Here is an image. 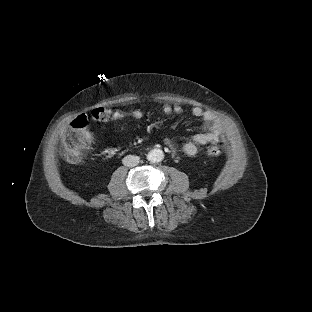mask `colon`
I'll return each mask as SVG.
<instances>
[{"mask_svg":"<svg viewBox=\"0 0 312 312\" xmlns=\"http://www.w3.org/2000/svg\"><path fill=\"white\" fill-rule=\"evenodd\" d=\"M90 114L92 120L96 123L107 125L112 122L117 112L111 109L96 108ZM87 128L88 121L83 116H76L71 121V129L68 130L63 138V152L66 160L70 163L81 162L93 146L94 139ZM220 152L221 149L217 145L211 146L208 149V153L212 156H217Z\"/></svg>","mask_w":312,"mask_h":312,"instance_id":"1","label":"colon"}]
</instances>
